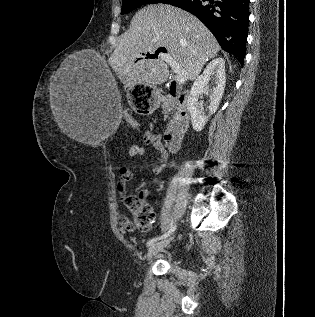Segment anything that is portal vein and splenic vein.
I'll list each match as a JSON object with an SVG mask.
<instances>
[{
	"label": "portal vein and splenic vein",
	"instance_id": "obj_1",
	"mask_svg": "<svg viewBox=\"0 0 315 317\" xmlns=\"http://www.w3.org/2000/svg\"><path fill=\"white\" fill-rule=\"evenodd\" d=\"M164 61L171 67V69L176 73V82L178 84H182L185 82L187 73L181 69V67L178 65V63L170 56L165 55Z\"/></svg>",
	"mask_w": 315,
	"mask_h": 317
}]
</instances>
